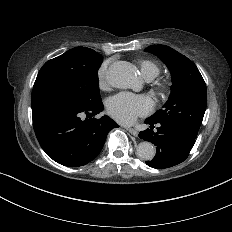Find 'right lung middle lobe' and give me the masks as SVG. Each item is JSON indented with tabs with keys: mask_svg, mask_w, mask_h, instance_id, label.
Instances as JSON below:
<instances>
[{
	"mask_svg": "<svg viewBox=\"0 0 232 232\" xmlns=\"http://www.w3.org/2000/svg\"><path fill=\"white\" fill-rule=\"evenodd\" d=\"M103 57L86 47H75L47 61L40 72L57 76L69 84L76 95L86 103L101 102L98 69Z\"/></svg>",
	"mask_w": 232,
	"mask_h": 232,
	"instance_id": "obj_1",
	"label": "right lung middle lobe"
}]
</instances>
